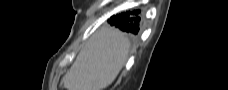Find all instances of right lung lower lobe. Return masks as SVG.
Returning <instances> with one entry per match:
<instances>
[{"mask_svg":"<svg viewBox=\"0 0 228 90\" xmlns=\"http://www.w3.org/2000/svg\"><path fill=\"white\" fill-rule=\"evenodd\" d=\"M140 10L113 15L108 22L120 30L136 36L139 31L141 18L138 16Z\"/></svg>","mask_w":228,"mask_h":90,"instance_id":"98d812e1","label":"right lung lower lobe"}]
</instances>
